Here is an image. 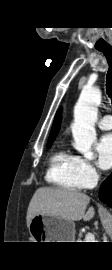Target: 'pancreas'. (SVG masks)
<instances>
[{
  "instance_id": "1",
  "label": "pancreas",
  "mask_w": 112,
  "mask_h": 270,
  "mask_svg": "<svg viewBox=\"0 0 112 270\" xmlns=\"http://www.w3.org/2000/svg\"><path fill=\"white\" fill-rule=\"evenodd\" d=\"M77 242H82L81 240H78Z\"/></svg>"
}]
</instances>
